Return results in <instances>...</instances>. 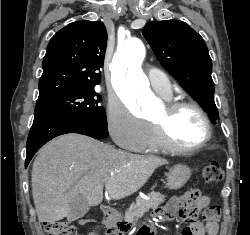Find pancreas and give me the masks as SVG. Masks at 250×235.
<instances>
[{
	"mask_svg": "<svg viewBox=\"0 0 250 235\" xmlns=\"http://www.w3.org/2000/svg\"><path fill=\"white\" fill-rule=\"evenodd\" d=\"M149 199L137 197L136 202L131 204L125 213V220L136 223L151 208H156L165 201V196L159 192L152 191L148 194Z\"/></svg>",
	"mask_w": 250,
	"mask_h": 235,
	"instance_id": "pancreas-1",
	"label": "pancreas"
}]
</instances>
